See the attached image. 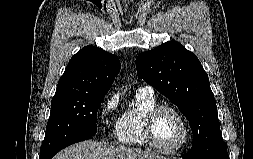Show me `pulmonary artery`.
I'll return each instance as SVG.
<instances>
[{"label": "pulmonary artery", "mask_w": 253, "mask_h": 159, "mask_svg": "<svg viewBox=\"0 0 253 159\" xmlns=\"http://www.w3.org/2000/svg\"><path fill=\"white\" fill-rule=\"evenodd\" d=\"M137 93H149V94H153L154 93V89L149 86V85H145V86H140L137 88L136 90Z\"/></svg>", "instance_id": "obj_1"}]
</instances>
